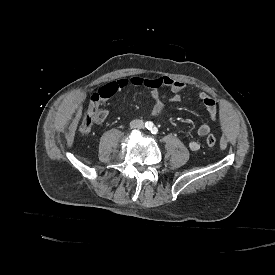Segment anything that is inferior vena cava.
<instances>
[{
	"label": "inferior vena cava",
	"mask_w": 275,
	"mask_h": 275,
	"mask_svg": "<svg viewBox=\"0 0 275 275\" xmlns=\"http://www.w3.org/2000/svg\"><path fill=\"white\" fill-rule=\"evenodd\" d=\"M130 128L132 129H141L144 127V122L143 120H140V119H134L130 122Z\"/></svg>",
	"instance_id": "602c4592"
}]
</instances>
